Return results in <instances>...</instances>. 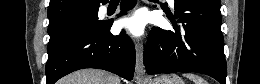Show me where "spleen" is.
Segmentation results:
<instances>
[{"label": "spleen", "instance_id": "obj_1", "mask_svg": "<svg viewBox=\"0 0 260 84\" xmlns=\"http://www.w3.org/2000/svg\"><path fill=\"white\" fill-rule=\"evenodd\" d=\"M184 76L192 80L194 84H207V82L202 77L194 73H185Z\"/></svg>", "mask_w": 260, "mask_h": 84}]
</instances>
